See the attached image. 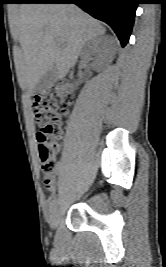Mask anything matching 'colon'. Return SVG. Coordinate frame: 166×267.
Here are the masks:
<instances>
[{"label": "colon", "mask_w": 166, "mask_h": 267, "mask_svg": "<svg viewBox=\"0 0 166 267\" xmlns=\"http://www.w3.org/2000/svg\"><path fill=\"white\" fill-rule=\"evenodd\" d=\"M72 101V86L65 81L56 83L34 97L33 114L38 126V152L45 179L53 176L55 172L56 142L62 134L61 112H64Z\"/></svg>", "instance_id": "obj_1"}]
</instances>
